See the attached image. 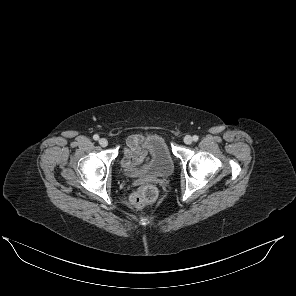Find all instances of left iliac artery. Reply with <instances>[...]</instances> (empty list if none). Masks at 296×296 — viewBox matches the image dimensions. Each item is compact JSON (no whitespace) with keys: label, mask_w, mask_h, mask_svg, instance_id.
I'll list each match as a JSON object with an SVG mask.
<instances>
[{"label":"left iliac artery","mask_w":296,"mask_h":296,"mask_svg":"<svg viewBox=\"0 0 296 296\" xmlns=\"http://www.w3.org/2000/svg\"><path fill=\"white\" fill-rule=\"evenodd\" d=\"M198 139H199V138H198L197 135H194V136H193V140H194V141H198Z\"/></svg>","instance_id":"obj_1"}]
</instances>
